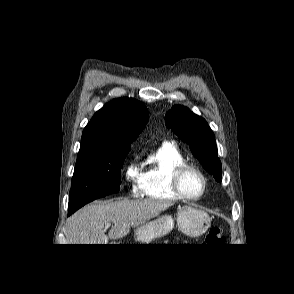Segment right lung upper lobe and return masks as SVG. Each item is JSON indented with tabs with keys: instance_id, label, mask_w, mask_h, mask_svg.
Masks as SVG:
<instances>
[{
	"instance_id": "obj_1",
	"label": "right lung upper lobe",
	"mask_w": 294,
	"mask_h": 294,
	"mask_svg": "<svg viewBox=\"0 0 294 294\" xmlns=\"http://www.w3.org/2000/svg\"><path fill=\"white\" fill-rule=\"evenodd\" d=\"M148 121L146 106L133 98L105 104L85 127L80 149H130Z\"/></svg>"
}]
</instances>
